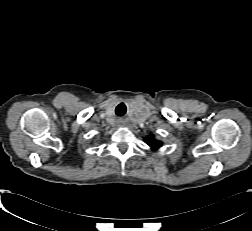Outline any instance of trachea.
<instances>
[{"label": "trachea", "instance_id": "obj_1", "mask_svg": "<svg viewBox=\"0 0 252 231\" xmlns=\"http://www.w3.org/2000/svg\"><path fill=\"white\" fill-rule=\"evenodd\" d=\"M124 113H125V107H124L123 104H120V105L116 108V114H117L118 116H122V115H124Z\"/></svg>", "mask_w": 252, "mask_h": 231}]
</instances>
